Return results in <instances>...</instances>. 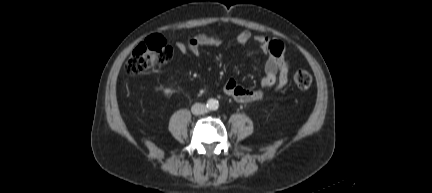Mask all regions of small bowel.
<instances>
[{
	"instance_id": "c3829d8e",
	"label": "small bowel",
	"mask_w": 432,
	"mask_h": 193,
	"mask_svg": "<svg viewBox=\"0 0 432 193\" xmlns=\"http://www.w3.org/2000/svg\"><path fill=\"white\" fill-rule=\"evenodd\" d=\"M252 39L249 31H241L237 34L236 41L240 45L248 44ZM255 43L267 55L265 74L261 81V89H249L242 87L235 80L229 79L224 85V93L238 102H254L263 98L265 88L280 90L288 82L290 69L289 61L285 57L284 44L276 39L263 35L254 37ZM221 39L206 33L198 34L186 42H177L176 48L181 53L198 54L203 46H218Z\"/></svg>"
}]
</instances>
